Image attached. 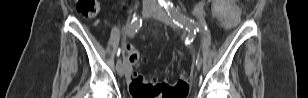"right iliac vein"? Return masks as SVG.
I'll list each match as a JSON object with an SVG mask.
<instances>
[{
    "label": "right iliac vein",
    "instance_id": "obj_1",
    "mask_svg": "<svg viewBox=\"0 0 308 98\" xmlns=\"http://www.w3.org/2000/svg\"><path fill=\"white\" fill-rule=\"evenodd\" d=\"M153 8H154V7H153V6H150V5H145V6H143L142 11H141L142 17H146V16H148L149 14H151L152 11H153ZM125 72H126V67H125L124 64L121 63V66H120V68L118 69V74H119V76H120V77H123L124 74H125Z\"/></svg>",
    "mask_w": 308,
    "mask_h": 98
}]
</instances>
